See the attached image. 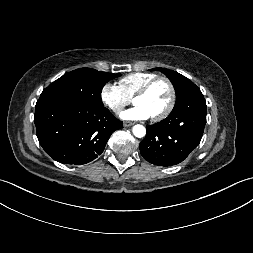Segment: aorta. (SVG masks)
I'll use <instances>...</instances> for the list:
<instances>
[{"label":"aorta","mask_w":253,"mask_h":253,"mask_svg":"<svg viewBox=\"0 0 253 253\" xmlns=\"http://www.w3.org/2000/svg\"><path fill=\"white\" fill-rule=\"evenodd\" d=\"M132 132L135 137L142 138L146 134V129L143 125L137 124L133 127Z\"/></svg>","instance_id":"1"}]
</instances>
